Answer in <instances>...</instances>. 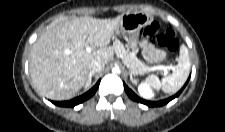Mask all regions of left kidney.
<instances>
[{
	"label": "left kidney",
	"mask_w": 225,
	"mask_h": 132,
	"mask_svg": "<svg viewBox=\"0 0 225 132\" xmlns=\"http://www.w3.org/2000/svg\"><path fill=\"white\" fill-rule=\"evenodd\" d=\"M138 92H139L140 96L145 99H151L152 97H154V93L147 83L139 84Z\"/></svg>",
	"instance_id": "1"
}]
</instances>
